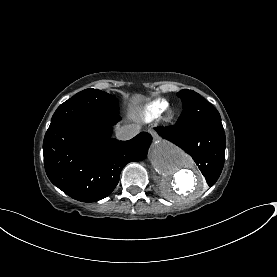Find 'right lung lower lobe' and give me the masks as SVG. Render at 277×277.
Here are the masks:
<instances>
[{
  "mask_svg": "<svg viewBox=\"0 0 277 277\" xmlns=\"http://www.w3.org/2000/svg\"><path fill=\"white\" fill-rule=\"evenodd\" d=\"M118 114L77 117L49 128L43 142L44 166L50 181L70 197L94 202L110 195L123 167L141 161L151 136L128 141L111 137Z\"/></svg>",
  "mask_w": 277,
  "mask_h": 277,
  "instance_id": "right-lung-lower-lobe-1",
  "label": "right lung lower lobe"
}]
</instances>
